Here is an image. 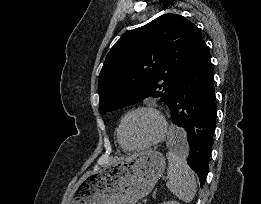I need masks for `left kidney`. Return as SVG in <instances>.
<instances>
[{
    "instance_id": "obj_1",
    "label": "left kidney",
    "mask_w": 261,
    "mask_h": 204,
    "mask_svg": "<svg viewBox=\"0 0 261 204\" xmlns=\"http://www.w3.org/2000/svg\"><path fill=\"white\" fill-rule=\"evenodd\" d=\"M161 204H180L178 201H167V202H163Z\"/></svg>"
}]
</instances>
